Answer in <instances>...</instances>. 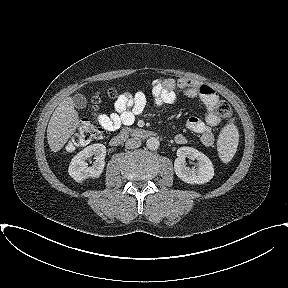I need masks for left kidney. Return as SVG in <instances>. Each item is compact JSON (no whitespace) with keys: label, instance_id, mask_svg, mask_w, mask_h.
Wrapping results in <instances>:
<instances>
[{"label":"left kidney","instance_id":"5707ae66","mask_svg":"<svg viewBox=\"0 0 288 288\" xmlns=\"http://www.w3.org/2000/svg\"><path fill=\"white\" fill-rule=\"evenodd\" d=\"M190 157L198 161L197 167L186 166L185 158ZM176 175L188 184H204L214 176V168L210 159L203 153L191 147H180L174 161Z\"/></svg>","mask_w":288,"mask_h":288}]
</instances>
